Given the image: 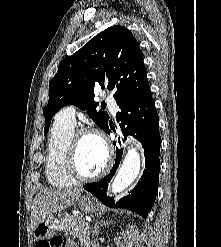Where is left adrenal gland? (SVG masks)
<instances>
[{
  "mask_svg": "<svg viewBox=\"0 0 221 247\" xmlns=\"http://www.w3.org/2000/svg\"><path fill=\"white\" fill-rule=\"evenodd\" d=\"M106 225H109L108 221L95 222L94 227L92 229V238H94L95 236H97L99 234V229L102 226H106Z\"/></svg>",
  "mask_w": 221,
  "mask_h": 247,
  "instance_id": "1",
  "label": "left adrenal gland"
}]
</instances>
